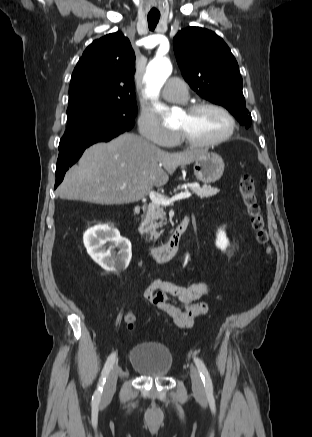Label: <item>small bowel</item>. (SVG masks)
<instances>
[{
    "label": "small bowel",
    "instance_id": "c3829d8e",
    "mask_svg": "<svg viewBox=\"0 0 312 437\" xmlns=\"http://www.w3.org/2000/svg\"><path fill=\"white\" fill-rule=\"evenodd\" d=\"M209 293L205 283L178 285L156 278L146 287L142 296L151 305L165 312L180 328H191L198 316L208 312L209 306L202 298Z\"/></svg>",
    "mask_w": 312,
    "mask_h": 437
}]
</instances>
